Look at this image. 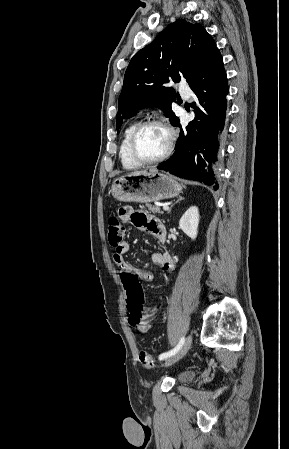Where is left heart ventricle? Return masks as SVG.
Here are the masks:
<instances>
[{"label":"left heart ventricle","mask_w":289,"mask_h":449,"mask_svg":"<svg viewBox=\"0 0 289 449\" xmlns=\"http://www.w3.org/2000/svg\"><path fill=\"white\" fill-rule=\"evenodd\" d=\"M167 145L168 135L166 131L158 125H151L144 128L138 135L136 151L140 158L151 160L162 155Z\"/></svg>","instance_id":"1"}]
</instances>
